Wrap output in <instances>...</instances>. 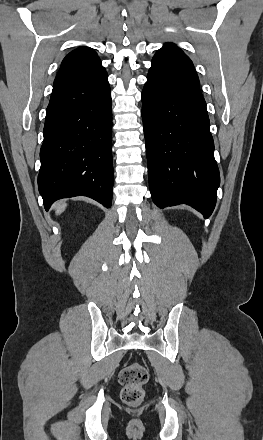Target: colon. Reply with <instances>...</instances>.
Listing matches in <instances>:
<instances>
[{"label":"colon","instance_id":"colon-1","mask_svg":"<svg viewBox=\"0 0 263 440\" xmlns=\"http://www.w3.org/2000/svg\"><path fill=\"white\" fill-rule=\"evenodd\" d=\"M149 379L146 367L140 363H131L125 366L119 373V381L122 385L121 400L129 406H138L144 399V385Z\"/></svg>","mask_w":263,"mask_h":440}]
</instances>
